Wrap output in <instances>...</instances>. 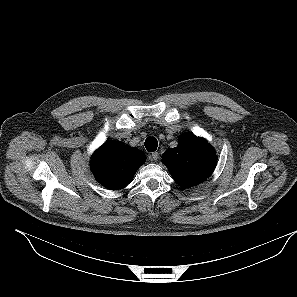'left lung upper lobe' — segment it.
Segmentation results:
<instances>
[{
  "label": "left lung upper lobe",
  "instance_id": "left-lung-upper-lobe-1",
  "mask_svg": "<svg viewBox=\"0 0 297 297\" xmlns=\"http://www.w3.org/2000/svg\"><path fill=\"white\" fill-rule=\"evenodd\" d=\"M162 161L182 188H189L208 178L217 164L214 148L203 138L191 133L179 138V145L169 148Z\"/></svg>",
  "mask_w": 297,
  "mask_h": 297
}]
</instances>
